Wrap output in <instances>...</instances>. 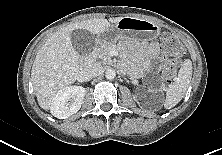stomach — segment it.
Wrapping results in <instances>:
<instances>
[{
  "label": "stomach",
  "mask_w": 222,
  "mask_h": 155,
  "mask_svg": "<svg viewBox=\"0 0 222 155\" xmlns=\"http://www.w3.org/2000/svg\"><path fill=\"white\" fill-rule=\"evenodd\" d=\"M159 34V26L148 20L124 17L117 24L101 32L97 40L101 46H113L118 41L140 44L156 39Z\"/></svg>",
  "instance_id": "0dacf381"
}]
</instances>
